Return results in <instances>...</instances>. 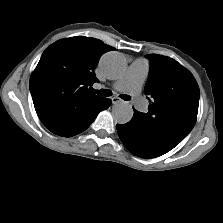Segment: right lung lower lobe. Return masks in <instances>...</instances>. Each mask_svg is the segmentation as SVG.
I'll list each match as a JSON object with an SVG mask.
<instances>
[{
	"instance_id": "98d812e1",
	"label": "right lung lower lobe",
	"mask_w": 223,
	"mask_h": 223,
	"mask_svg": "<svg viewBox=\"0 0 223 223\" xmlns=\"http://www.w3.org/2000/svg\"><path fill=\"white\" fill-rule=\"evenodd\" d=\"M111 105V100L110 99H107L105 98V100L103 101L102 104H100V106L96 109V112H95V115H94V118L92 119V121L90 123H88L84 128H82L81 130L77 131V132H63V131H53L50 129L51 132H53L54 134H57L59 136H64V137H71V136H74L76 134H79L81 132H83L84 130H86L89 125L94 121V119L96 118V116L98 115V113L102 110H105L107 109L109 106Z\"/></svg>"
}]
</instances>
